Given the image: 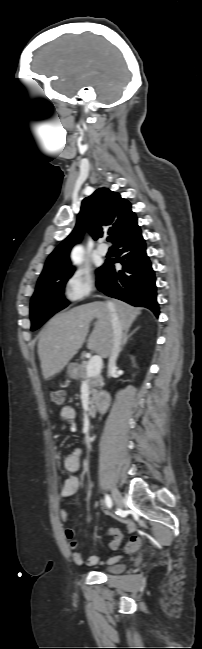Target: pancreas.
<instances>
[{
	"mask_svg": "<svg viewBox=\"0 0 202 649\" xmlns=\"http://www.w3.org/2000/svg\"><path fill=\"white\" fill-rule=\"evenodd\" d=\"M88 363L87 362H82L80 365L77 366V379L81 381H86L88 383V387L90 388V393L92 394V397L90 398L89 405H90V411L94 410L95 408V402L98 397V388H101L104 383H103V378L100 374H97L93 377H87L86 375V367Z\"/></svg>",
	"mask_w": 202,
	"mask_h": 649,
	"instance_id": "pancreas-1",
	"label": "pancreas"
}]
</instances>
